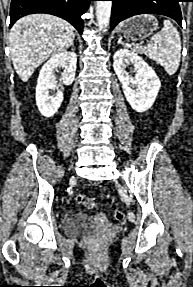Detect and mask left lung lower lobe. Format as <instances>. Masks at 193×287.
I'll return each mask as SVG.
<instances>
[{"instance_id":"1","label":"left lung lower lobe","mask_w":193,"mask_h":287,"mask_svg":"<svg viewBox=\"0 0 193 287\" xmlns=\"http://www.w3.org/2000/svg\"><path fill=\"white\" fill-rule=\"evenodd\" d=\"M112 13L110 29L119 22L139 14H161L174 19L180 26L182 14L180 0H111Z\"/></svg>"}]
</instances>
